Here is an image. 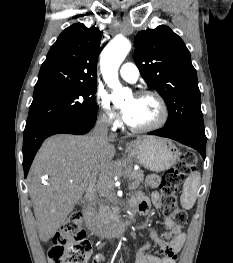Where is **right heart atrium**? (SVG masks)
<instances>
[{
    "mask_svg": "<svg viewBox=\"0 0 233 263\" xmlns=\"http://www.w3.org/2000/svg\"><path fill=\"white\" fill-rule=\"evenodd\" d=\"M96 101L100 108L99 119L102 124L108 127L118 126V115L111 105L108 95L102 91H98L96 94Z\"/></svg>",
    "mask_w": 233,
    "mask_h": 263,
    "instance_id": "obj_1",
    "label": "right heart atrium"
}]
</instances>
